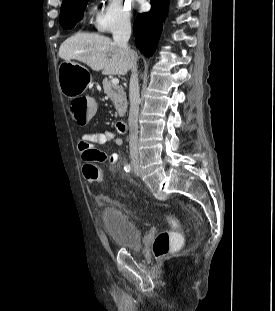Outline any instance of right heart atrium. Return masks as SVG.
<instances>
[{
    "mask_svg": "<svg viewBox=\"0 0 275 311\" xmlns=\"http://www.w3.org/2000/svg\"><path fill=\"white\" fill-rule=\"evenodd\" d=\"M132 25V8L128 0H107L106 5L94 20L101 33L125 31Z\"/></svg>",
    "mask_w": 275,
    "mask_h": 311,
    "instance_id": "d8ad5b80",
    "label": "right heart atrium"
}]
</instances>
